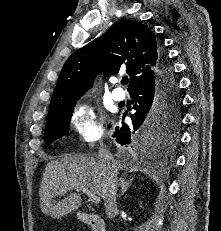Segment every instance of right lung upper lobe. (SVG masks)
<instances>
[{
	"label": "right lung upper lobe",
	"instance_id": "cb5924a9",
	"mask_svg": "<svg viewBox=\"0 0 221 231\" xmlns=\"http://www.w3.org/2000/svg\"><path fill=\"white\" fill-rule=\"evenodd\" d=\"M160 55L161 49L150 28L132 20L116 22L106 34L68 58L54 90L49 114L66 101L80 97L102 72L105 76L116 75L125 68L130 76L129 93L153 83L159 75Z\"/></svg>",
	"mask_w": 221,
	"mask_h": 231
}]
</instances>
